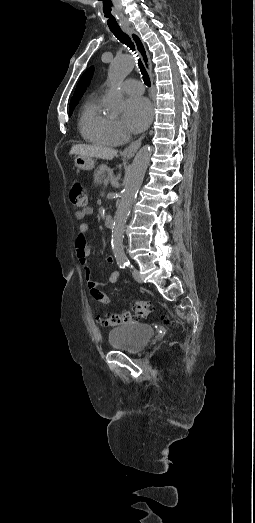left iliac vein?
Wrapping results in <instances>:
<instances>
[{"mask_svg":"<svg viewBox=\"0 0 255 523\" xmlns=\"http://www.w3.org/2000/svg\"><path fill=\"white\" fill-rule=\"evenodd\" d=\"M132 275L137 282H139V283L143 282V279L137 269H133Z\"/></svg>","mask_w":255,"mask_h":523,"instance_id":"1","label":"left iliac vein"}]
</instances>
